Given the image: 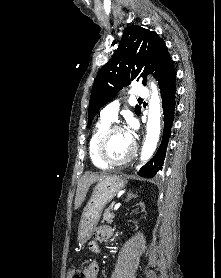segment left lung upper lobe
Instances as JSON below:
<instances>
[{
	"mask_svg": "<svg viewBox=\"0 0 221 278\" xmlns=\"http://www.w3.org/2000/svg\"><path fill=\"white\" fill-rule=\"evenodd\" d=\"M169 61L165 42L155 32L137 25L125 29L112 59L100 69L94 81L88 126L96 112L123 86L139 77H143L142 83L146 85V74L151 73L156 78ZM143 68L145 73L140 74ZM140 112V107L136 106L135 113L139 115Z\"/></svg>",
	"mask_w": 221,
	"mask_h": 278,
	"instance_id": "1",
	"label": "left lung upper lobe"
}]
</instances>
